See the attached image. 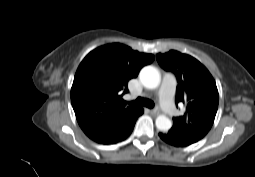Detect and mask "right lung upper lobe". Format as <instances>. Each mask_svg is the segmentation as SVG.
Returning a JSON list of instances; mask_svg holds the SVG:
<instances>
[{
    "mask_svg": "<svg viewBox=\"0 0 255 177\" xmlns=\"http://www.w3.org/2000/svg\"><path fill=\"white\" fill-rule=\"evenodd\" d=\"M153 60L152 54L120 43L98 47L83 59L74 77L71 102L86 135L136 109L127 107L122 95L128 92V81Z\"/></svg>",
    "mask_w": 255,
    "mask_h": 177,
    "instance_id": "cb5924a9",
    "label": "right lung upper lobe"
}]
</instances>
